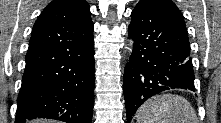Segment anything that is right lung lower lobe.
Masks as SVG:
<instances>
[{"instance_id":"right-lung-lower-lobe-1","label":"right lung lower lobe","mask_w":221,"mask_h":123,"mask_svg":"<svg viewBox=\"0 0 221 123\" xmlns=\"http://www.w3.org/2000/svg\"><path fill=\"white\" fill-rule=\"evenodd\" d=\"M16 123L49 118L91 123L94 103L93 31L68 44L28 49Z\"/></svg>"}]
</instances>
